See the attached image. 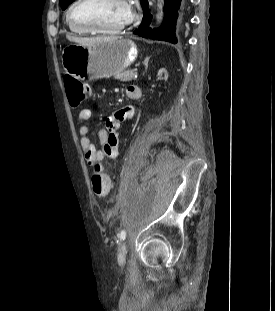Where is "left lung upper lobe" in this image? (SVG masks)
Here are the masks:
<instances>
[{
  "label": "left lung upper lobe",
  "mask_w": 275,
  "mask_h": 311,
  "mask_svg": "<svg viewBox=\"0 0 275 311\" xmlns=\"http://www.w3.org/2000/svg\"><path fill=\"white\" fill-rule=\"evenodd\" d=\"M74 0H60V6L62 7V9H66L68 7L69 4H71ZM143 0H140V2L142 3Z\"/></svg>",
  "instance_id": "obj_1"
}]
</instances>
